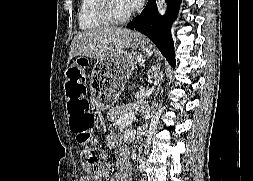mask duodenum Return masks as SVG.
<instances>
[{
  "label": "duodenum",
  "mask_w": 253,
  "mask_h": 181,
  "mask_svg": "<svg viewBox=\"0 0 253 181\" xmlns=\"http://www.w3.org/2000/svg\"><path fill=\"white\" fill-rule=\"evenodd\" d=\"M145 132H146L145 129L141 130V131L139 132L140 136H142Z\"/></svg>",
  "instance_id": "410a0bca"
}]
</instances>
